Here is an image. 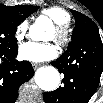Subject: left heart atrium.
<instances>
[{
	"label": "left heart atrium",
	"mask_w": 103,
	"mask_h": 103,
	"mask_svg": "<svg viewBox=\"0 0 103 103\" xmlns=\"http://www.w3.org/2000/svg\"><path fill=\"white\" fill-rule=\"evenodd\" d=\"M56 56V49L52 44L26 42L19 47V57L30 62H43Z\"/></svg>",
	"instance_id": "1"
}]
</instances>
